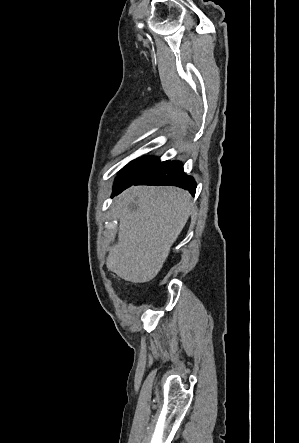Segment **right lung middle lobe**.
Masks as SVG:
<instances>
[{
    "instance_id": "obj_1",
    "label": "right lung middle lobe",
    "mask_w": 299,
    "mask_h": 443,
    "mask_svg": "<svg viewBox=\"0 0 299 443\" xmlns=\"http://www.w3.org/2000/svg\"><path fill=\"white\" fill-rule=\"evenodd\" d=\"M160 162L155 157H141L131 161L118 174L115 185H123L137 180Z\"/></svg>"
}]
</instances>
